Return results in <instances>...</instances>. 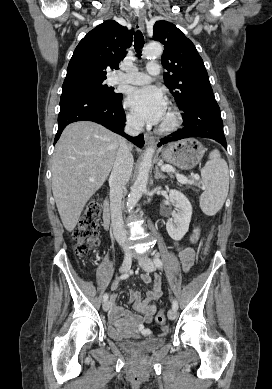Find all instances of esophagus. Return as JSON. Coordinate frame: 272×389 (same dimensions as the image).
Here are the masks:
<instances>
[{
	"mask_svg": "<svg viewBox=\"0 0 272 389\" xmlns=\"http://www.w3.org/2000/svg\"><path fill=\"white\" fill-rule=\"evenodd\" d=\"M137 17H138V26H139V29L144 31L145 29V17H146V11L145 10H140L137 12ZM144 138H145V143L147 145H151L155 142V139L152 135L150 134H145L144 135Z\"/></svg>",
	"mask_w": 272,
	"mask_h": 389,
	"instance_id": "1",
	"label": "esophagus"
}]
</instances>
